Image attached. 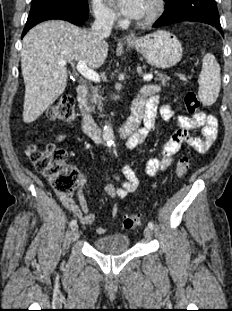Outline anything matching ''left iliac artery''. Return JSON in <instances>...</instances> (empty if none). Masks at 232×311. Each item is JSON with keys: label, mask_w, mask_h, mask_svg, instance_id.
Returning <instances> with one entry per match:
<instances>
[{"label": "left iliac artery", "mask_w": 232, "mask_h": 311, "mask_svg": "<svg viewBox=\"0 0 232 311\" xmlns=\"http://www.w3.org/2000/svg\"><path fill=\"white\" fill-rule=\"evenodd\" d=\"M148 227H150L151 229H153V228H154V223L150 221V222L148 223Z\"/></svg>", "instance_id": "1"}]
</instances>
